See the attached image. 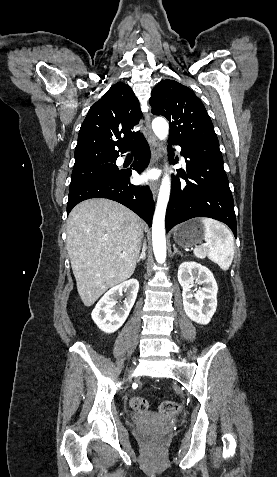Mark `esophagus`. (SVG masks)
<instances>
[{
  "mask_svg": "<svg viewBox=\"0 0 277 477\" xmlns=\"http://www.w3.org/2000/svg\"><path fill=\"white\" fill-rule=\"evenodd\" d=\"M144 118H145L144 120L145 128L149 136V145H150L151 154H152V165L157 166L160 162V157H161L160 145H159V142L157 141V138L155 137V135L153 134L151 130V122H150L149 113H145ZM150 188H151L153 198L155 199L158 193V188H159L158 182L152 181L150 183Z\"/></svg>",
  "mask_w": 277,
  "mask_h": 477,
  "instance_id": "34e87169",
  "label": "esophagus"
}]
</instances>
